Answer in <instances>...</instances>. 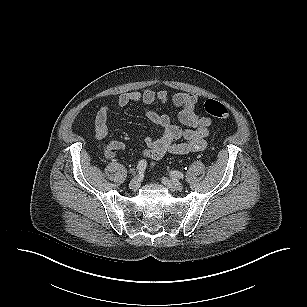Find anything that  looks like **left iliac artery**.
<instances>
[{
  "mask_svg": "<svg viewBox=\"0 0 307 307\" xmlns=\"http://www.w3.org/2000/svg\"><path fill=\"white\" fill-rule=\"evenodd\" d=\"M170 174H171L172 177H176V178H179V179L184 178V174L179 172V171H176V170L171 171Z\"/></svg>",
  "mask_w": 307,
  "mask_h": 307,
  "instance_id": "obj_1",
  "label": "left iliac artery"
}]
</instances>
